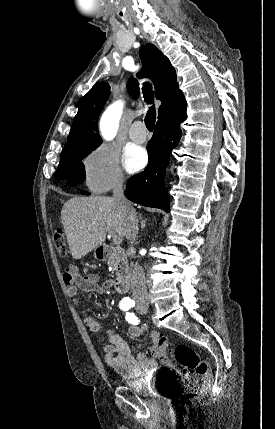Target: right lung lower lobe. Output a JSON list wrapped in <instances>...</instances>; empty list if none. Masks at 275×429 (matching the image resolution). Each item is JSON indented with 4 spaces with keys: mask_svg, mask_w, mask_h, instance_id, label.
Here are the masks:
<instances>
[{
    "mask_svg": "<svg viewBox=\"0 0 275 429\" xmlns=\"http://www.w3.org/2000/svg\"><path fill=\"white\" fill-rule=\"evenodd\" d=\"M186 120V109L172 118L157 122L148 142L149 161L145 170L132 176L126 185V197L138 204L169 212V198L164 188L165 169L172 150L181 137L180 124Z\"/></svg>",
    "mask_w": 275,
    "mask_h": 429,
    "instance_id": "obj_1",
    "label": "right lung lower lobe"
}]
</instances>
